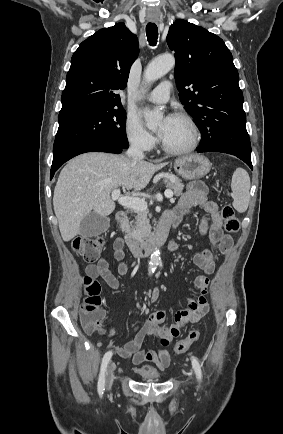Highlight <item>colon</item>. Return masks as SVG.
<instances>
[{
  "label": "colon",
  "mask_w": 283,
  "mask_h": 434,
  "mask_svg": "<svg viewBox=\"0 0 283 434\" xmlns=\"http://www.w3.org/2000/svg\"><path fill=\"white\" fill-rule=\"evenodd\" d=\"M221 218L227 232L236 233L239 230L240 222L231 205L222 207ZM104 245L105 239L102 236H83L74 241L73 247L85 262L93 263L98 260ZM84 285L86 298L82 306L80 320L87 331L96 332L104 318L100 298L101 285L96 278L90 276L84 278ZM199 337L200 330L194 329L190 331L186 338L179 340L175 344L174 353L182 354L186 352Z\"/></svg>",
  "instance_id": "5ec220e1"
}]
</instances>
